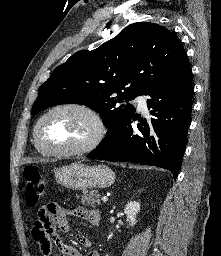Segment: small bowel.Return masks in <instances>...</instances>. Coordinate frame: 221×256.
<instances>
[{
	"instance_id": "c3829d8e",
	"label": "small bowel",
	"mask_w": 221,
	"mask_h": 256,
	"mask_svg": "<svg viewBox=\"0 0 221 256\" xmlns=\"http://www.w3.org/2000/svg\"><path fill=\"white\" fill-rule=\"evenodd\" d=\"M72 215L87 220L93 226H97L100 222V214L95 209L79 207L68 210L51 203L41 207L32 228V236L43 256H52L53 243L64 256H100L97 250H90L83 255L64 242L59 231L67 232L70 229ZM77 240L85 248H90L92 245L91 240L83 234H79Z\"/></svg>"
}]
</instances>
